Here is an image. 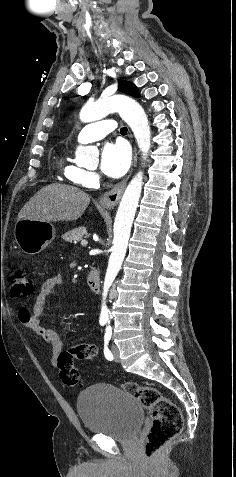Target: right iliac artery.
<instances>
[{"instance_id":"1","label":"right iliac artery","mask_w":236,"mask_h":477,"mask_svg":"<svg viewBox=\"0 0 236 477\" xmlns=\"http://www.w3.org/2000/svg\"><path fill=\"white\" fill-rule=\"evenodd\" d=\"M105 321H100V325L104 326L105 325Z\"/></svg>"}]
</instances>
